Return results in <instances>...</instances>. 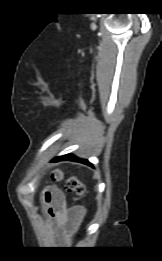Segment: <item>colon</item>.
<instances>
[{
    "instance_id": "1",
    "label": "colon",
    "mask_w": 162,
    "mask_h": 261,
    "mask_svg": "<svg viewBox=\"0 0 162 261\" xmlns=\"http://www.w3.org/2000/svg\"><path fill=\"white\" fill-rule=\"evenodd\" d=\"M53 176L55 180H60L62 178V173L60 171H55ZM65 188L68 192L78 195L84 192V186L76 177L68 178L65 184Z\"/></svg>"
}]
</instances>
